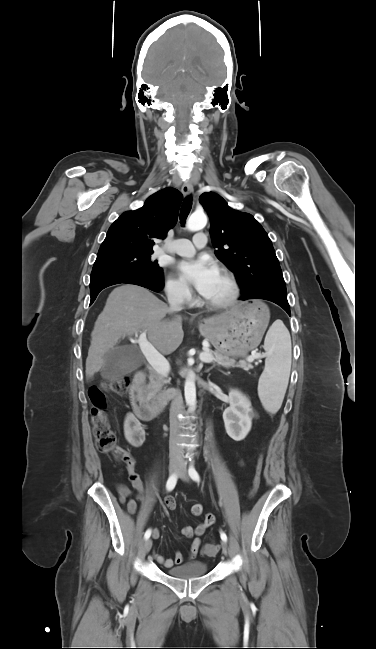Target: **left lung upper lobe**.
I'll list each match as a JSON object with an SVG mask.
<instances>
[{
  "label": "left lung upper lobe",
  "instance_id": "1",
  "mask_svg": "<svg viewBox=\"0 0 376 649\" xmlns=\"http://www.w3.org/2000/svg\"><path fill=\"white\" fill-rule=\"evenodd\" d=\"M199 200L210 217L215 254L238 274L244 289L242 297L260 290L287 297L272 242L254 217L231 209L213 192L203 193Z\"/></svg>",
  "mask_w": 376,
  "mask_h": 649
}]
</instances>
